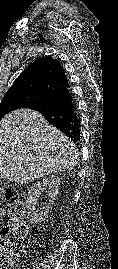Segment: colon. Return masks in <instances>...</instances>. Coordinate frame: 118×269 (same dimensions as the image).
Segmentation results:
<instances>
[{
  "instance_id": "1",
  "label": "colon",
  "mask_w": 118,
  "mask_h": 269,
  "mask_svg": "<svg viewBox=\"0 0 118 269\" xmlns=\"http://www.w3.org/2000/svg\"><path fill=\"white\" fill-rule=\"evenodd\" d=\"M0 196L9 203V221L0 239V269H18L16 248L25 243L27 236L25 208L18 193L1 183Z\"/></svg>"
}]
</instances>
